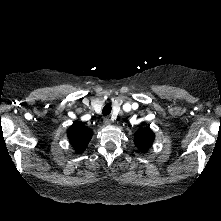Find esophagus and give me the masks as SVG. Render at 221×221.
Segmentation results:
<instances>
[{
  "mask_svg": "<svg viewBox=\"0 0 221 221\" xmlns=\"http://www.w3.org/2000/svg\"><path fill=\"white\" fill-rule=\"evenodd\" d=\"M104 125L108 126L111 124V119H109L108 117L104 118Z\"/></svg>",
  "mask_w": 221,
  "mask_h": 221,
  "instance_id": "esophagus-1",
  "label": "esophagus"
}]
</instances>
